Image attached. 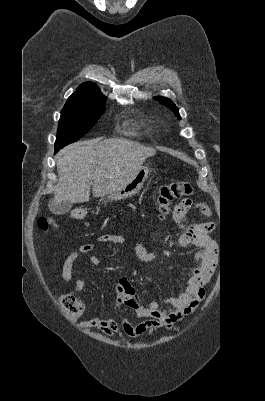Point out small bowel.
Masks as SVG:
<instances>
[{
	"label": "small bowel",
	"instance_id": "c3829d8e",
	"mask_svg": "<svg viewBox=\"0 0 265 401\" xmlns=\"http://www.w3.org/2000/svg\"><path fill=\"white\" fill-rule=\"evenodd\" d=\"M197 208L206 218L204 222L192 221L185 223L186 214L193 208ZM211 210L203 202L193 203L190 199L177 202L173 209V219L182 230L173 244L179 247L193 245L198 248L194 256L195 266L190 270L186 281V291L178 297L167 298L164 303L170 308L160 309L159 303L152 301L147 305L140 302L135 288L127 277H122L116 286V300L113 315L93 317L81 323L82 328H95L109 337H116L124 333L132 338H144L151 335L159 327H171L186 315L196 310L199 302L205 296L204 286L211 279L218 262L216 243L210 237L214 228L211 220ZM98 243L123 244L125 238L122 235L102 234L96 238ZM95 248L94 242L80 245L72 251L64 260L62 266V278L66 284H70L73 277V265L84 254ZM136 259L142 263L153 261L155 255L146 249L142 241L134 247ZM89 262L95 266L100 265L96 256H89ZM85 285L84 278H79L74 285V291L80 292ZM126 306L134 310L138 318L148 319L138 324L131 323L127 318L117 321L116 316L121 308Z\"/></svg>",
	"mask_w": 265,
	"mask_h": 401
}]
</instances>
